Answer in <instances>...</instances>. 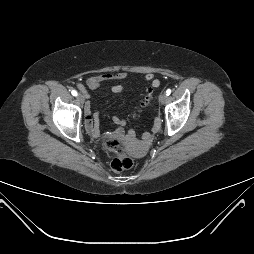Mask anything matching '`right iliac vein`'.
Returning a JSON list of instances; mask_svg holds the SVG:
<instances>
[{
	"label": "right iliac vein",
	"instance_id": "obj_1",
	"mask_svg": "<svg viewBox=\"0 0 254 254\" xmlns=\"http://www.w3.org/2000/svg\"><path fill=\"white\" fill-rule=\"evenodd\" d=\"M77 100H78L81 104H83V103L85 102V98H84V96H83L82 94H79V95L77 96Z\"/></svg>",
	"mask_w": 254,
	"mask_h": 254
}]
</instances>
